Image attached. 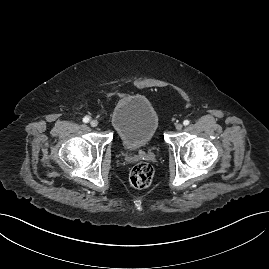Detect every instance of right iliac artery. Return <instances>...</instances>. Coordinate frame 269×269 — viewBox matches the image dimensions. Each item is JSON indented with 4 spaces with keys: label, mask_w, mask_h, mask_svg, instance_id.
<instances>
[{
    "label": "right iliac artery",
    "mask_w": 269,
    "mask_h": 269,
    "mask_svg": "<svg viewBox=\"0 0 269 269\" xmlns=\"http://www.w3.org/2000/svg\"><path fill=\"white\" fill-rule=\"evenodd\" d=\"M89 120H90V117H88V116H85V117L83 118V122H84V123H88Z\"/></svg>",
    "instance_id": "right-iliac-artery-1"
}]
</instances>
